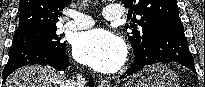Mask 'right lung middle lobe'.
<instances>
[{"label": "right lung middle lobe", "mask_w": 205, "mask_h": 87, "mask_svg": "<svg viewBox=\"0 0 205 87\" xmlns=\"http://www.w3.org/2000/svg\"><path fill=\"white\" fill-rule=\"evenodd\" d=\"M57 28L39 29L16 32L12 45L17 44H40L49 48H61L65 43L60 42L61 37L56 34Z\"/></svg>", "instance_id": "obj_1"}]
</instances>
